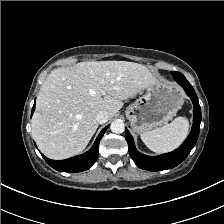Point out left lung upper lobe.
Wrapping results in <instances>:
<instances>
[{"mask_svg": "<svg viewBox=\"0 0 224 224\" xmlns=\"http://www.w3.org/2000/svg\"><path fill=\"white\" fill-rule=\"evenodd\" d=\"M171 74H172L173 76H176V75L179 74V72H171Z\"/></svg>", "mask_w": 224, "mask_h": 224, "instance_id": "obj_1", "label": "left lung upper lobe"}]
</instances>
